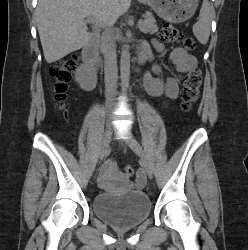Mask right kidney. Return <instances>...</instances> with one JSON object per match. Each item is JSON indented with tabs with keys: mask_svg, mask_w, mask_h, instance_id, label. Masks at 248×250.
I'll list each match as a JSON object with an SVG mask.
<instances>
[{
	"mask_svg": "<svg viewBox=\"0 0 248 250\" xmlns=\"http://www.w3.org/2000/svg\"><path fill=\"white\" fill-rule=\"evenodd\" d=\"M75 80L84 91H92L97 85V72L95 68L81 65L75 72Z\"/></svg>",
	"mask_w": 248,
	"mask_h": 250,
	"instance_id": "right-kidney-1",
	"label": "right kidney"
}]
</instances>
